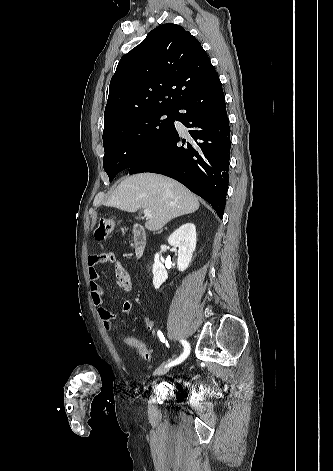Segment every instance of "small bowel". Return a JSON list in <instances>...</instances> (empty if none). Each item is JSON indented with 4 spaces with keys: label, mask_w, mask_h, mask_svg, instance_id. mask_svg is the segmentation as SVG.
<instances>
[{
    "label": "small bowel",
    "mask_w": 333,
    "mask_h": 471,
    "mask_svg": "<svg viewBox=\"0 0 333 471\" xmlns=\"http://www.w3.org/2000/svg\"><path fill=\"white\" fill-rule=\"evenodd\" d=\"M104 264L114 265V278L121 290L130 292L133 283L130 272L115 252H102L88 257L87 265L91 299L97 307L103 327L109 331L112 329L113 320L126 316L131 311L132 303L128 299L125 300L119 313H113L103 306V289L99 284L101 274L98 267Z\"/></svg>",
    "instance_id": "small-bowel-1"
}]
</instances>
